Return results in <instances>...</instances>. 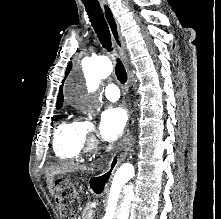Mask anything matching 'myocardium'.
Wrapping results in <instances>:
<instances>
[{
	"mask_svg": "<svg viewBox=\"0 0 221 219\" xmlns=\"http://www.w3.org/2000/svg\"><path fill=\"white\" fill-rule=\"evenodd\" d=\"M94 148H95L94 146L91 147V149H94Z\"/></svg>",
	"mask_w": 221,
	"mask_h": 219,
	"instance_id": "1",
	"label": "myocardium"
}]
</instances>
